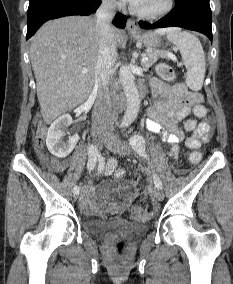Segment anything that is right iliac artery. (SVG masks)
Listing matches in <instances>:
<instances>
[{
	"label": "right iliac artery",
	"instance_id": "82829eb1",
	"mask_svg": "<svg viewBox=\"0 0 233 284\" xmlns=\"http://www.w3.org/2000/svg\"><path fill=\"white\" fill-rule=\"evenodd\" d=\"M88 154H89V158H88L87 168L89 170H93L95 168V163L97 162V157H102V156L99 154L98 150L93 145L89 146ZM98 168H104V167H98ZM79 191L80 189L78 186H75L73 188L74 194H79Z\"/></svg>",
	"mask_w": 233,
	"mask_h": 284
}]
</instances>
